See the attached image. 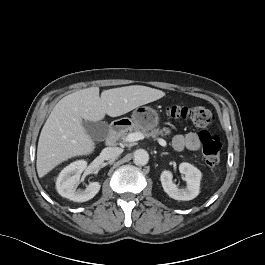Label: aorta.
<instances>
[{
    "instance_id": "762f6f07",
    "label": "aorta",
    "mask_w": 265,
    "mask_h": 265,
    "mask_svg": "<svg viewBox=\"0 0 265 265\" xmlns=\"http://www.w3.org/2000/svg\"><path fill=\"white\" fill-rule=\"evenodd\" d=\"M133 160L136 165L144 166L149 161V154L144 149H138L134 152Z\"/></svg>"
}]
</instances>
